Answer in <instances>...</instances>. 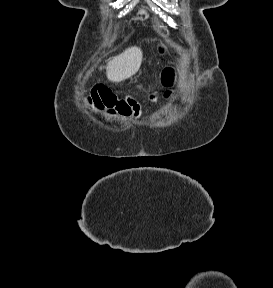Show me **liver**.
I'll use <instances>...</instances> for the list:
<instances>
[{"instance_id":"obj_1","label":"liver","mask_w":273,"mask_h":288,"mask_svg":"<svg viewBox=\"0 0 273 288\" xmlns=\"http://www.w3.org/2000/svg\"><path fill=\"white\" fill-rule=\"evenodd\" d=\"M143 54L139 47L127 48L123 53L110 59L106 66L109 81L121 82L136 74L141 66Z\"/></svg>"}]
</instances>
